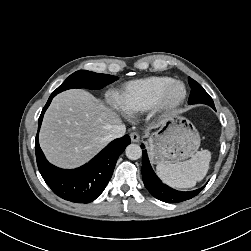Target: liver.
Returning a JSON list of instances; mask_svg holds the SVG:
<instances>
[{"label":"liver","mask_w":251,"mask_h":251,"mask_svg":"<svg viewBox=\"0 0 251 251\" xmlns=\"http://www.w3.org/2000/svg\"><path fill=\"white\" fill-rule=\"evenodd\" d=\"M117 124H121L119 115L92 94L67 90L52 100L44 115L40 146L51 163L75 168L108 144L106 137Z\"/></svg>","instance_id":"obj_1"}]
</instances>
